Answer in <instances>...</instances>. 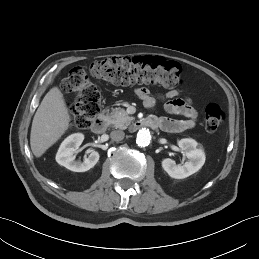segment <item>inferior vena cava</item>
Instances as JSON below:
<instances>
[{"label":"inferior vena cava","instance_id":"602c4592","mask_svg":"<svg viewBox=\"0 0 259 259\" xmlns=\"http://www.w3.org/2000/svg\"><path fill=\"white\" fill-rule=\"evenodd\" d=\"M125 133L122 130H114L111 132V138L114 141H120L124 138Z\"/></svg>","mask_w":259,"mask_h":259}]
</instances>
